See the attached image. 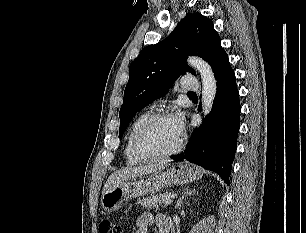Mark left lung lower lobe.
I'll list each match as a JSON object with an SVG mask.
<instances>
[{
    "mask_svg": "<svg viewBox=\"0 0 306 233\" xmlns=\"http://www.w3.org/2000/svg\"><path fill=\"white\" fill-rule=\"evenodd\" d=\"M213 72L217 79V92L212 110L193 132L185 152L172 159H186L214 171L229 185L241 107L235 74L226 53L216 61Z\"/></svg>",
    "mask_w": 306,
    "mask_h": 233,
    "instance_id": "1",
    "label": "left lung lower lobe"
}]
</instances>
